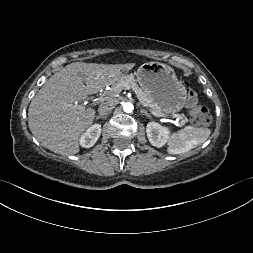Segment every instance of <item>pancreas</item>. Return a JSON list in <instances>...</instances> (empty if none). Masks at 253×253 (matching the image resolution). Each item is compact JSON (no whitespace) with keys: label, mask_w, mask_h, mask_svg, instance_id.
<instances>
[{"label":"pancreas","mask_w":253,"mask_h":253,"mask_svg":"<svg viewBox=\"0 0 253 253\" xmlns=\"http://www.w3.org/2000/svg\"><path fill=\"white\" fill-rule=\"evenodd\" d=\"M122 85H128L135 93L139 101L144 105L145 107L156 111L161 112L160 107L153 101L151 97H149L142 88L136 83V80L133 75H126L121 77L115 84H113V88L111 91L112 95L117 94L121 91ZM187 122V118H183L181 125H184Z\"/></svg>","instance_id":"cf45deb5"}]
</instances>
